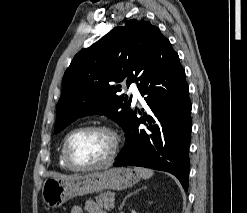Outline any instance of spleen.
I'll use <instances>...</instances> for the list:
<instances>
[{"instance_id":"obj_1","label":"spleen","mask_w":247,"mask_h":213,"mask_svg":"<svg viewBox=\"0 0 247 213\" xmlns=\"http://www.w3.org/2000/svg\"><path fill=\"white\" fill-rule=\"evenodd\" d=\"M134 170L140 177L144 179H148L153 176V171L146 168L135 167Z\"/></svg>"}]
</instances>
